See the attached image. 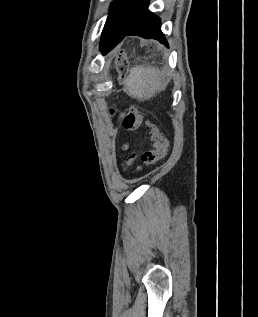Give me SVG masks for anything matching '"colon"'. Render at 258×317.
<instances>
[{
    "label": "colon",
    "mask_w": 258,
    "mask_h": 317,
    "mask_svg": "<svg viewBox=\"0 0 258 317\" xmlns=\"http://www.w3.org/2000/svg\"><path fill=\"white\" fill-rule=\"evenodd\" d=\"M122 125L127 130L139 128L148 129V137L152 148L142 154L144 166H150L160 161L167 153L168 143L162 133L136 109H129L123 117Z\"/></svg>",
    "instance_id": "colon-1"
}]
</instances>
